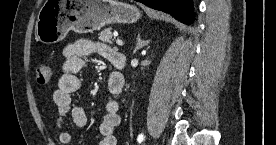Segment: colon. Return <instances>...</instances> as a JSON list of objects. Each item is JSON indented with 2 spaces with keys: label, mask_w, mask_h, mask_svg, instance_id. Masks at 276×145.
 I'll return each mask as SVG.
<instances>
[{
  "label": "colon",
  "mask_w": 276,
  "mask_h": 145,
  "mask_svg": "<svg viewBox=\"0 0 276 145\" xmlns=\"http://www.w3.org/2000/svg\"><path fill=\"white\" fill-rule=\"evenodd\" d=\"M52 76L51 68L47 64H39L35 70V80L39 85H46Z\"/></svg>",
  "instance_id": "obj_1"
}]
</instances>
